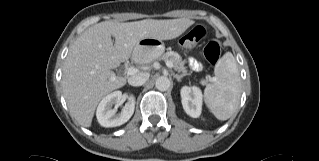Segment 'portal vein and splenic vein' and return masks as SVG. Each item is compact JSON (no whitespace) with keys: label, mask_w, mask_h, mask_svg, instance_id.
<instances>
[{"label":"portal vein and splenic vein","mask_w":319,"mask_h":161,"mask_svg":"<svg viewBox=\"0 0 319 161\" xmlns=\"http://www.w3.org/2000/svg\"><path fill=\"white\" fill-rule=\"evenodd\" d=\"M166 66H167L168 68H173V64H172V62H170V61H166ZM136 72H137V69L134 68V67H129V68L127 69V74H128V75H133V74H135ZM208 79H209V80H212V78H211L210 76H208ZM202 83L205 84L204 81H203Z\"/></svg>","instance_id":"1"}]
</instances>
